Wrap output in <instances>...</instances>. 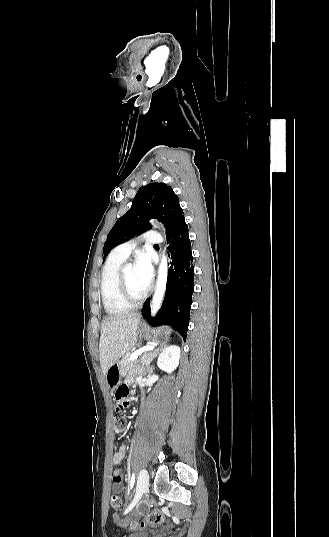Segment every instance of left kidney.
<instances>
[{
  "mask_svg": "<svg viewBox=\"0 0 329 537\" xmlns=\"http://www.w3.org/2000/svg\"><path fill=\"white\" fill-rule=\"evenodd\" d=\"M180 353V348L176 345L166 347L159 355L157 361L158 367L167 373H171L179 364Z\"/></svg>",
  "mask_w": 329,
  "mask_h": 537,
  "instance_id": "left-kidney-1",
  "label": "left kidney"
}]
</instances>
